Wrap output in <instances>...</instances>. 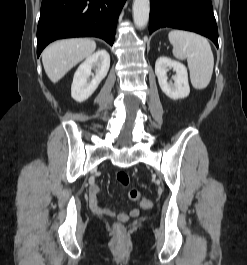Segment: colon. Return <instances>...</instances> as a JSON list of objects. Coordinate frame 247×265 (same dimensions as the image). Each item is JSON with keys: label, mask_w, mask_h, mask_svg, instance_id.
<instances>
[{"label": "colon", "mask_w": 247, "mask_h": 265, "mask_svg": "<svg viewBox=\"0 0 247 265\" xmlns=\"http://www.w3.org/2000/svg\"><path fill=\"white\" fill-rule=\"evenodd\" d=\"M115 179H116V182L122 187L128 186L130 182V177L128 173L125 171H119L116 174ZM128 196L131 200L138 201L140 203V206L144 209H150L153 205L151 200L141 197L139 191L136 189H131L128 192ZM115 228L118 232L123 231V225L120 223L116 224Z\"/></svg>", "instance_id": "colon-1"}]
</instances>
